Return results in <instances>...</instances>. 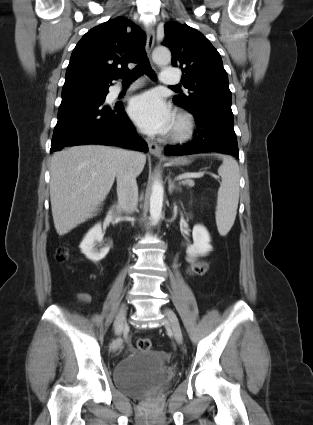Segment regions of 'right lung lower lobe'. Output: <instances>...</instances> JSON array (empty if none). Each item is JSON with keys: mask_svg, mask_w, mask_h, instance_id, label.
Here are the masks:
<instances>
[{"mask_svg": "<svg viewBox=\"0 0 313 425\" xmlns=\"http://www.w3.org/2000/svg\"><path fill=\"white\" fill-rule=\"evenodd\" d=\"M108 87H75L62 90L50 152L66 146L102 144L148 151L121 104H104Z\"/></svg>", "mask_w": 313, "mask_h": 425, "instance_id": "1", "label": "right lung lower lobe"}]
</instances>
